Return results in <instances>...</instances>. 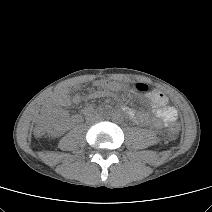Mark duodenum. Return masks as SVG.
Wrapping results in <instances>:
<instances>
[{
  "label": "duodenum",
  "mask_w": 212,
  "mask_h": 212,
  "mask_svg": "<svg viewBox=\"0 0 212 212\" xmlns=\"http://www.w3.org/2000/svg\"><path fill=\"white\" fill-rule=\"evenodd\" d=\"M90 110H91V109H86L85 112L88 113V112H90Z\"/></svg>",
  "instance_id": "1"
}]
</instances>
